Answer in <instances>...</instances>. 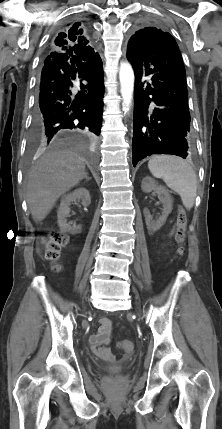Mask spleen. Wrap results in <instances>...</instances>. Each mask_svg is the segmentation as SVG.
I'll return each mask as SVG.
<instances>
[{
	"instance_id": "obj_1",
	"label": "spleen",
	"mask_w": 222,
	"mask_h": 429,
	"mask_svg": "<svg viewBox=\"0 0 222 429\" xmlns=\"http://www.w3.org/2000/svg\"><path fill=\"white\" fill-rule=\"evenodd\" d=\"M154 177L162 178L169 188L181 197L182 203L190 210L195 202L197 178L193 168L183 159L171 155H155L148 162Z\"/></svg>"
}]
</instances>
